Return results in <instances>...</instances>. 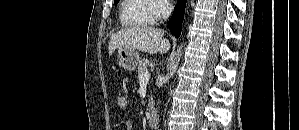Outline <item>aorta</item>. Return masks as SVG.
I'll list each match as a JSON object with an SVG mask.
<instances>
[{
  "label": "aorta",
  "mask_w": 299,
  "mask_h": 130,
  "mask_svg": "<svg viewBox=\"0 0 299 130\" xmlns=\"http://www.w3.org/2000/svg\"><path fill=\"white\" fill-rule=\"evenodd\" d=\"M180 48L177 50V54H176V59L173 61L172 63V72H170V77L174 74V72H176V69L178 67V64H179V60H180Z\"/></svg>",
  "instance_id": "762f6f07"
}]
</instances>
